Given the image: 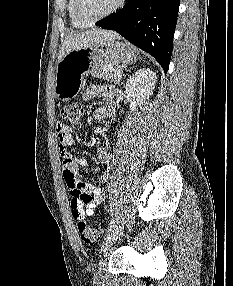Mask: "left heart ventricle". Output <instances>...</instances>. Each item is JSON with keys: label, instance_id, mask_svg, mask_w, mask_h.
I'll return each mask as SVG.
<instances>
[{"label": "left heart ventricle", "instance_id": "b2bd125f", "mask_svg": "<svg viewBox=\"0 0 233 286\" xmlns=\"http://www.w3.org/2000/svg\"><path fill=\"white\" fill-rule=\"evenodd\" d=\"M117 0H82V13L88 19L96 18L111 9Z\"/></svg>", "mask_w": 233, "mask_h": 286}]
</instances>
